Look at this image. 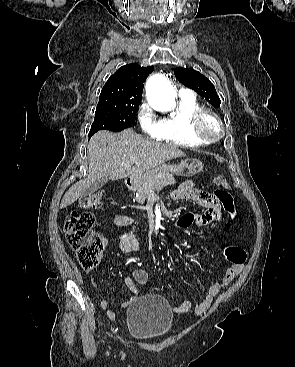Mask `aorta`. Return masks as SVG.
Instances as JSON below:
<instances>
[{"label": "aorta", "mask_w": 295, "mask_h": 367, "mask_svg": "<svg viewBox=\"0 0 295 367\" xmlns=\"http://www.w3.org/2000/svg\"><path fill=\"white\" fill-rule=\"evenodd\" d=\"M146 96L149 105L160 112L174 115L175 91L171 83L161 74L152 75L146 84Z\"/></svg>", "instance_id": "obj_1"}]
</instances>
